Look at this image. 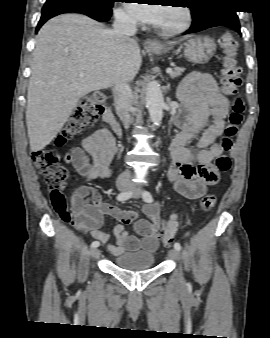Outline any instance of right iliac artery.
<instances>
[{"instance_id":"82829eb1","label":"right iliac artery","mask_w":270,"mask_h":338,"mask_svg":"<svg viewBox=\"0 0 270 338\" xmlns=\"http://www.w3.org/2000/svg\"><path fill=\"white\" fill-rule=\"evenodd\" d=\"M132 195H133V192H131V191H128V192H122V193H120V194L117 196V200H118V201H125V200L131 198ZM98 246H99V242H98V241H93V242L91 243V247H92V248H96V247H98Z\"/></svg>"}]
</instances>
